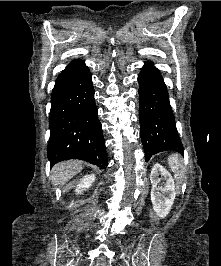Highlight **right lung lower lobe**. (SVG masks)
Returning <instances> with one entry per match:
<instances>
[{
    "label": "right lung lower lobe",
    "mask_w": 221,
    "mask_h": 266,
    "mask_svg": "<svg viewBox=\"0 0 221 266\" xmlns=\"http://www.w3.org/2000/svg\"><path fill=\"white\" fill-rule=\"evenodd\" d=\"M49 128L47 153L51 165L81 159L107 166L92 77L84 61L66 67L57 77L51 94Z\"/></svg>",
    "instance_id": "right-lung-lower-lobe-1"
}]
</instances>
